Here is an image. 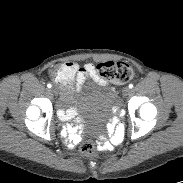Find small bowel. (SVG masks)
<instances>
[{
  "mask_svg": "<svg viewBox=\"0 0 183 183\" xmlns=\"http://www.w3.org/2000/svg\"><path fill=\"white\" fill-rule=\"evenodd\" d=\"M59 73L65 76H69V80L61 84V95L67 96L72 91V82L75 81L76 88L79 90L84 85L88 78H91L96 84L104 85L106 82L99 77L96 72L95 66L91 63H87L83 66H79L76 62L70 61L61 65L58 70ZM59 117L62 120L72 119L76 112L74 109L59 110ZM65 135H67L73 144L80 142L81 137L78 133L79 128L72 125H67L63 129ZM108 135L111 137V144L115 145L121 138L122 131L117 125V119H113L111 124L108 126L107 130ZM106 147V143L104 145Z\"/></svg>",
  "mask_w": 183,
  "mask_h": 183,
  "instance_id": "obj_1",
  "label": "small bowel"
}]
</instances>
